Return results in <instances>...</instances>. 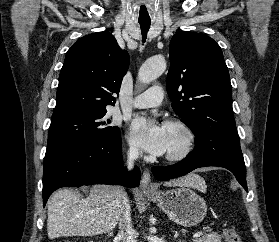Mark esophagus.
I'll list each match as a JSON object with an SVG mask.
<instances>
[{
    "mask_svg": "<svg viewBox=\"0 0 279 242\" xmlns=\"http://www.w3.org/2000/svg\"><path fill=\"white\" fill-rule=\"evenodd\" d=\"M140 189L142 192H154L156 191V186L152 183L151 177L148 171H144L142 178H141V184Z\"/></svg>",
    "mask_w": 279,
    "mask_h": 242,
    "instance_id": "34e87169",
    "label": "esophagus"
}]
</instances>
